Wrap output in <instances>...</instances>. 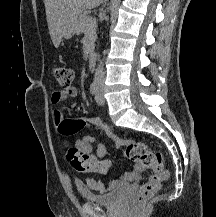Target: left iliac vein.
<instances>
[{
  "instance_id": "1",
  "label": "left iliac vein",
  "mask_w": 216,
  "mask_h": 217,
  "mask_svg": "<svg viewBox=\"0 0 216 217\" xmlns=\"http://www.w3.org/2000/svg\"><path fill=\"white\" fill-rule=\"evenodd\" d=\"M95 100L97 104L103 105L105 103L104 95H103V88L99 86L97 93L95 95Z\"/></svg>"
}]
</instances>
